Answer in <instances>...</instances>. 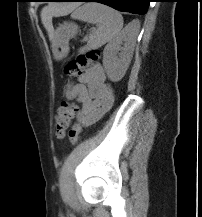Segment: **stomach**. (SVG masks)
Here are the masks:
<instances>
[{
	"instance_id": "stomach-1",
	"label": "stomach",
	"mask_w": 202,
	"mask_h": 217,
	"mask_svg": "<svg viewBox=\"0 0 202 217\" xmlns=\"http://www.w3.org/2000/svg\"><path fill=\"white\" fill-rule=\"evenodd\" d=\"M77 33V26L72 23H64L54 34L53 55L55 59L61 60L68 55V42Z\"/></svg>"
}]
</instances>
